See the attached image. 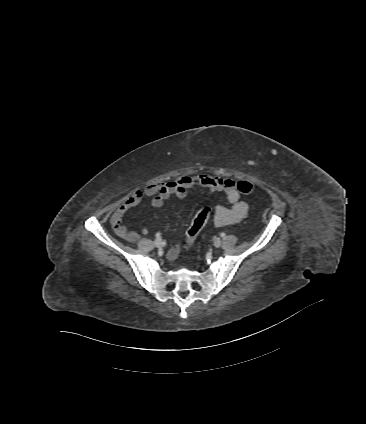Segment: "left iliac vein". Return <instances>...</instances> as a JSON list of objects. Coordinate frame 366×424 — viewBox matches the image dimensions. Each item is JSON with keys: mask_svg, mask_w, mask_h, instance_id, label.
<instances>
[{"mask_svg": "<svg viewBox=\"0 0 366 424\" xmlns=\"http://www.w3.org/2000/svg\"><path fill=\"white\" fill-rule=\"evenodd\" d=\"M221 243H222L221 238H216V239L214 240V246H215V247H220Z\"/></svg>", "mask_w": 366, "mask_h": 424, "instance_id": "left-iliac-vein-1", "label": "left iliac vein"}]
</instances>
